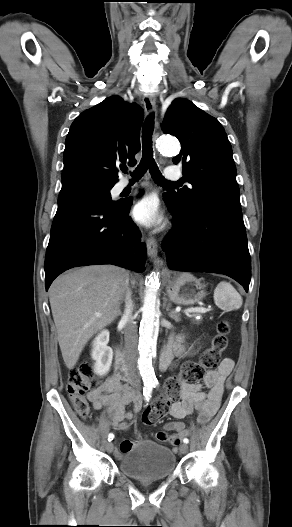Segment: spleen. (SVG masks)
<instances>
[{"mask_svg":"<svg viewBox=\"0 0 292 527\" xmlns=\"http://www.w3.org/2000/svg\"><path fill=\"white\" fill-rule=\"evenodd\" d=\"M215 304L226 311L237 310L242 306L243 300L236 289L227 282H221L214 290Z\"/></svg>","mask_w":292,"mask_h":527,"instance_id":"3e777b00","label":"spleen"}]
</instances>
